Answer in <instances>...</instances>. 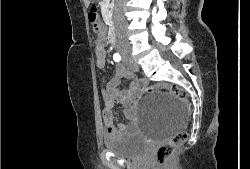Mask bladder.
I'll return each instance as SVG.
<instances>
[{"label": "bladder", "mask_w": 250, "mask_h": 169, "mask_svg": "<svg viewBox=\"0 0 250 169\" xmlns=\"http://www.w3.org/2000/svg\"><path fill=\"white\" fill-rule=\"evenodd\" d=\"M103 146L121 158H138L150 148L144 142V134L135 132L108 133Z\"/></svg>", "instance_id": "31cf9c89"}]
</instances>
